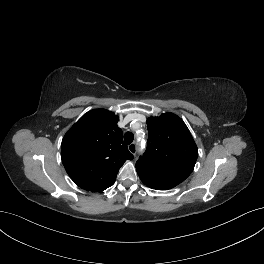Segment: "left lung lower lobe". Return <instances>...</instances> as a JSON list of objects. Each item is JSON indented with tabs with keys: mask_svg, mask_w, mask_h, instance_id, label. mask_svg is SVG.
<instances>
[{
	"mask_svg": "<svg viewBox=\"0 0 264 264\" xmlns=\"http://www.w3.org/2000/svg\"><path fill=\"white\" fill-rule=\"evenodd\" d=\"M138 175L146 186L157 190L171 189L181 183L156 166H148L144 171L138 172Z\"/></svg>",
	"mask_w": 264,
	"mask_h": 264,
	"instance_id": "left-lung-lower-lobe-1",
	"label": "left lung lower lobe"
}]
</instances>
